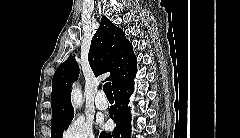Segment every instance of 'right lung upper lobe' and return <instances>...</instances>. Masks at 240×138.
Wrapping results in <instances>:
<instances>
[{
    "label": "right lung upper lobe",
    "mask_w": 240,
    "mask_h": 138,
    "mask_svg": "<svg viewBox=\"0 0 240 138\" xmlns=\"http://www.w3.org/2000/svg\"><path fill=\"white\" fill-rule=\"evenodd\" d=\"M132 44L122 29L107 18L101 19L100 26L92 38L88 61L95 76L110 72L106 79L114 89L135 76L136 57ZM79 66L73 56L63 62L52 79V120L51 126L72 120L74 110L70 93L72 83L78 78Z\"/></svg>",
    "instance_id": "obj_1"
}]
</instances>
